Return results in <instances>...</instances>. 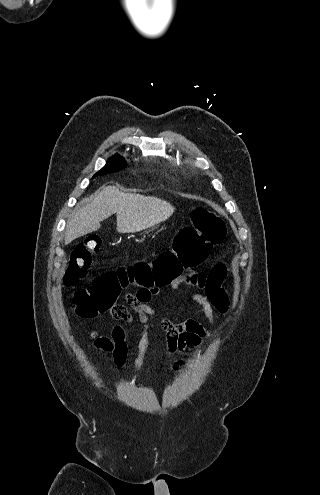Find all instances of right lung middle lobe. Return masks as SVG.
<instances>
[{
  "mask_svg": "<svg viewBox=\"0 0 320 495\" xmlns=\"http://www.w3.org/2000/svg\"><path fill=\"white\" fill-rule=\"evenodd\" d=\"M126 165H127L126 161L120 155H116L110 158L107 161L106 165L100 171H98L93 177L120 170L126 167Z\"/></svg>",
  "mask_w": 320,
  "mask_h": 495,
  "instance_id": "obj_1",
  "label": "right lung middle lobe"
}]
</instances>
